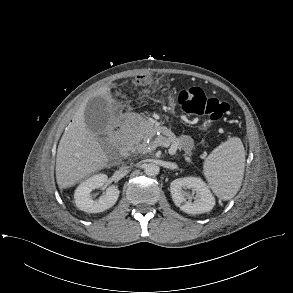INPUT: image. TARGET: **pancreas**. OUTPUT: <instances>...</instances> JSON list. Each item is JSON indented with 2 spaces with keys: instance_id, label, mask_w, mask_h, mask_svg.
<instances>
[{
  "instance_id": "1",
  "label": "pancreas",
  "mask_w": 293,
  "mask_h": 293,
  "mask_svg": "<svg viewBox=\"0 0 293 293\" xmlns=\"http://www.w3.org/2000/svg\"><path fill=\"white\" fill-rule=\"evenodd\" d=\"M158 131H162L160 128H154V127H147L144 129H141L135 143H137L136 149L140 153H147L155 150L158 146L162 145L167 141V138L160 135L155 140H153V137L156 135ZM165 134V133H164ZM149 140V142H147ZM175 141L178 143L179 148L185 151L186 155H191V148L185 147L179 138H175ZM142 142V143H141Z\"/></svg>"
}]
</instances>
